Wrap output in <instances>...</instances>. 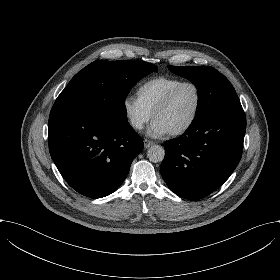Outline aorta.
<instances>
[{"label":"aorta","mask_w":280,"mask_h":280,"mask_svg":"<svg viewBox=\"0 0 280 280\" xmlns=\"http://www.w3.org/2000/svg\"><path fill=\"white\" fill-rule=\"evenodd\" d=\"M164 155L165 151L160 145H152L147 150V157L151 162H161Z\"/></svg>","instance_id":"1"}]
</instances>
